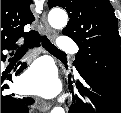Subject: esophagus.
Masks as SVG:
<instances>
[{
    "mask_svg": "<svg viewBox=\"0 0 121 113\" xmlns=\"http://www.w3.org/2000/svg\"><path fill=\"white\" fill-rule=\"evenodd\" d=\"M41 22H42V24H43V26H44L46 35L50 36V34H51V29H50V27H49V25H48V22H47V19H46V12H44V13L42 14ZM40 105H41V109H42L43 111H47V110H49L50 107H51V103H50V102H46V101H42V100L40 101Z\"/></svg>",
    "mask_w": 121,
    "mask_h": 113,
    "instance_id": "34e87169",
    "label": "esophagus"
}]
</instances>
